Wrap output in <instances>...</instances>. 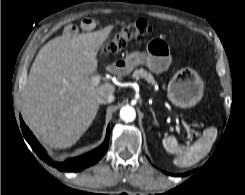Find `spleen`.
<instances>
[{"instance_id": "obj_1", "label": "spleen", "mask_w": 245, "mask_h": 195, "mask_svg": "<svg viewBox=\"0 0 245 195\" xmlns=\"http://www.w3.org/2000/svg\"><path fill=\"white\" fill-rule=\"evenodd\" d=\"M216 135L217 130L215 128L207 129L203 137L197 140L190 148L182 151L181 158L175 160L174 163L180 167L194 165L211 150ZM163 146L170 153H175L179 149L178 142L173 136L164 138Z\"/></svg>"}]
</instances>
